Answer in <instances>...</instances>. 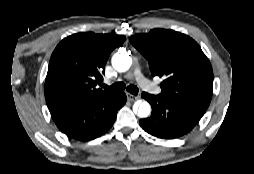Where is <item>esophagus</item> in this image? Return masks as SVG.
Instances as JSON below:
<instances>
[{"instance_id": "obj_1", "label": "esophagus", "mask_w": 254, "mask_h": 174, "mask_svg": "<svg viewBox=\"0 0 254 174\" xmlns=\"http://www.w3.org/2000/svg\"><path fill=\"white\" fill-rule=\"evenodd\" d=\"M127 99H128V101H135V100H138L139 97L135 96L133 94L127 93Z\"/></svg>"}]
</instances>
